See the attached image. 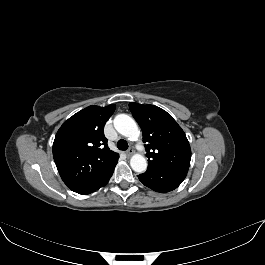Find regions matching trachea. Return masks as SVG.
Returning a JSON list of instances; mask_svg holds the SVG:
<instances>
[{"label": "trachea", "instance_id": "3493384b", "mask_svg": "<svg viewBox=\"0 0 265 265\" xmlns=\"http://www.w3.org/2000/svg\"><path fill=\"white\" fill-rule=\"evenodd\" d=\"M117 147L120 150H126L128 148V143L124 139H120L117 142Z\"/></svg>", "mask_w": 265, "mask_h": 265}]
</instances>
